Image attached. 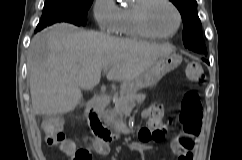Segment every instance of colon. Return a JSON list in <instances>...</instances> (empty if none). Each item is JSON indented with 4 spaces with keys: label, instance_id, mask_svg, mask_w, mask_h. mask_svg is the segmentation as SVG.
<instances>
[{
    "label": "colon",
    "instance_id": "obj_1",
    "mask_svg": "<svg viewBox=\"0 0 242 160\" xmlns=\"http://www.w3.org/2000/svg\"><path fill=\"white\" fill-rule=\"evenodd\" d=\"M187 78L196 83H200L204 80V71L202 65L199 62H190L186 68ZM159 115L157 114L156 117ZM202 106L198 98L197 92L190 90L184 95L181 102V112L179 115V121L183 125L184 133L197 135L201 128ZM64 122L60 118L49 117L42 123V129L45 133V143L49 147L58 148L66 156H71L65 149L69 147V142L65 139L63 134ZM142 134L144 137L160 141L164 133L162 130L149 131L145 129ZM96 150L100 154H106L108 147L102 142L96 143ZM72 160H91L89 152L79 150L72 156Z\"/></svg>",
    "mask_w": 242,
    "mask_h": 160
}]
</instances>
